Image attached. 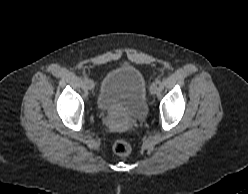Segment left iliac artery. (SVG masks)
<instances>
[{
	"label": "left iliac artery",
	"instance_id": "44dca946",
	"mask_svg": "<svg viewBox=\"0 0 248 194\" xmlns=\"http://www.w3.org/2000/svg\"><path fill=\"white\" fill-rule=\"evenodd\" d=\"M155 82H156V84H160L161 83L160 79H158V78L155 80Z\"/></svg>",
	"mask_w": 248,
	"mask_h": 194
}]
</instances>
